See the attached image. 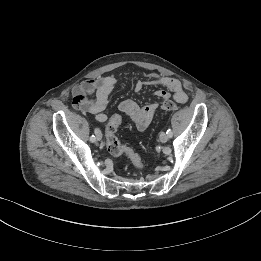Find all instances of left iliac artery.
Here are the masks:
<instances>
[{"label": "left iliac artery", "mask_w": 261, "mask_h": 261, "mask_svg": "<svg viewBox=\"0 0 261 261\" xmlns=\"http://www.w3.org/2000/svg\"><path fill=\"white\" fill-rule=\"evenodd\" d=\"M166 133H167L169 138H171L173 136L171 129H168Z\"/></svg>", "instance_id": "44dca946"}]
</instances>
